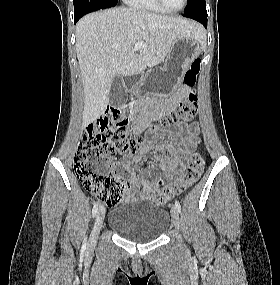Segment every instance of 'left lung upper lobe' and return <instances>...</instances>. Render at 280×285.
I'll list each match as a JSON object with an SVG mask.
<instances>
[{
	"mask_svg": "<svg viewBox=\"0 0 280 285\" xmlns=\"http://www.w3.org/2000/svg\"><path fill=\"white\" fill-rule=\"evenodd\" d=\"M206 3L205 0H188L187 6L184 10V14H191L194 12H205Z\"/></svg>",
	"mask_w": 280,
	"mask_h": 285,
	"instance_id": "obj_1",
	"label": "left lung upper lobe"
}]
</instances>
